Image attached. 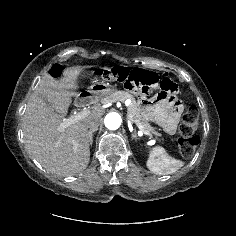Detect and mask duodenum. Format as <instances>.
Masks as SVG:
<instances>
[{"label":"duodenum","instance_id":"1","mask_svg":"<svg viewBox=\"0 0 236 236\" xmlns=\"http://www.w3.org/2000/svg\"><path fill=\"white\" fill-rule=\"evenodd\" d=\"M89 101V96H81L76 99L75 105L78 108H82L86 105V103Z\"/></svg>","mask_w":236,"mask_h":236}]
</instances>
